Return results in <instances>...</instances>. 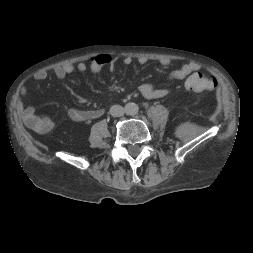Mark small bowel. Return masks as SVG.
Returning <instances> with one entry per match:
<instances>
[{
    "mask_svg": "<svg viewBox=\"0 0 253 253\" xmlns=\"http://www.w3.org/2000/svg\"><path fill=\"white\" fill-rule=\"evenodd\" d=\"M148 60L149 59L146 56H140L138 58V63L143 65L146 64ZM114 61L115 59L111 55L102 54L92 58L89 62H78L77 64L65 63L58 65L57 67H55L54 73L57 78L63 79L75 71L81 73H85L87 71L92 72L100 71L104 66L112 65ZM122 61L124 64L130 65L133 63V58L130 56H126L123 58ZM160 63L163 66H167L170 64V59L162 58L160 59ZM199 69L200 66L198 63L188 62L183 64L181 67L170 71L166 75V80L167 81L182 80ZM46 77L47 72L44 70L39 71L35 75V78L37 80H44L46 79ZM139 90L140 93L147 99L162 98L170 93L169 89L156 87L149 82L141 84ZM26 95L27 89L24 88L22 90V97L25 98ZM103 114L104 110L101 108H94L88 110L73 108L68 111L69 118L75 122H89L100 118ZM22 119L29 128L39 133H47L51 131L54 127V122L50 117L38 116L35 108L27 103L24 104V108L22 111Z\"/></svg>",
    "mask_w": 253,
    "mask_h": 253,
    "instance_id": "small-bowel-1",
    "label": "small bowel"
}]
</instances>
